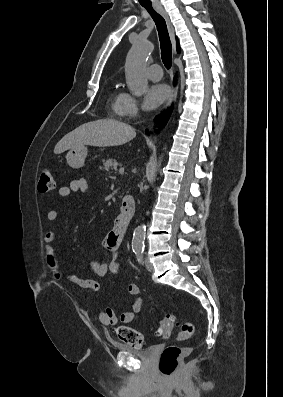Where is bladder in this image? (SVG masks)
I'll return each mask as SVG.
<instances>
[{"label": "bladder", "instance_id": "1", "mask_svg": "<svg viewBox=\"0 0 283 397\" xmlns=\"http://www.w3.org/2000/svg\"><path fill=\"white\" fill-rule=\"evenodd\" d=\"M118 349L139 357L142 360L150 361L157 353L158 345H151L145 348H136L129 345L117 344Z\"/></svg>", "mask_w": 283, "mask_h": 397}]
</instances>
